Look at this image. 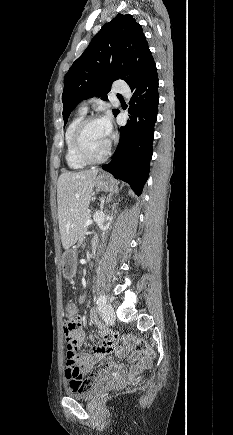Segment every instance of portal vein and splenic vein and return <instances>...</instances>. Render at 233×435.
I'll return each mask as SVG.
<instances>
[{"instance_id": "1", "label": "portal vein and splenic vein", "mask_w": 233, "mask_h": 435, "mask_svg": "<svg viewBox=\"0 0 233 435\" xmlns=\"http://www.w3.org/2000/svg\"><path fill=\"white\" fill-rule=\"evenodd\" d=\"M92 223H93V220L88 219V220L85 221V223H84V227H88V226L91 225Z\"/></svg>"}]
</instances>
